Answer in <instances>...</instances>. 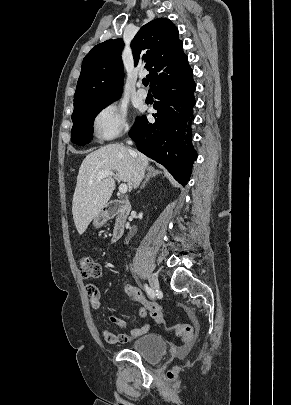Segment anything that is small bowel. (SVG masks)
<instances>
[{"label": "small bowel", "mask_w": 291, "mask_h": 405, "mask_svg": "<svg viewBox=\"0 0 291 405\" xmlns=\"http://www.w3.org/2000/svg\"><path fill=\"white\" fill-rule=\"evenodd\" d=\"M91 305L94 309L99 308V306H100L99 297H97L95 299H91ZM137 313L140 318L146 317V315H147L146 307L142 305L138 309ZM186 313H187L188 317L190 318V320L193 322V324L196 325L197 321H196L194 314L189 309H186ZM109 320H110V322H112L113 324H115L119 327H124L126 325V322L123 319H121L115 315H110ZM148 331H149L148 324L144 325L141 328L132 329L130 332H125V333H120V334H114V333L108 331L107 329L102 328L103 337H104L105 341L110 344L129 342L133 339H136V338L142 336L143 334L147 333Z\"/></svg>", "instance_id": "c3829d8e"}]
</instances>
